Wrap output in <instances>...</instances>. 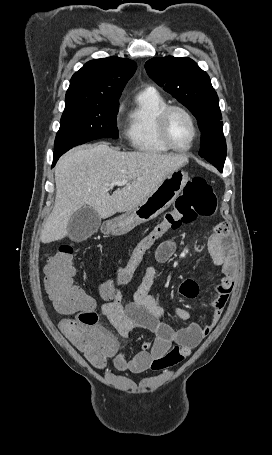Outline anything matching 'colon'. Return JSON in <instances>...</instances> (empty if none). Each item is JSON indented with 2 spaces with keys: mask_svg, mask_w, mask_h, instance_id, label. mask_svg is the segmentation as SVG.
<instances>
[{
  "mask_svg": "<svg viewBox=\"0 0 272 455\" xmlns=\"http://www.w3.org/2000/svg\"><path fill=\"white\" fill-rule=\"evenodd\" d=\"M216 208V196L208 181L203 177L190 179L173 209L166 211L162 220L138 241L126 262L117 268L113 280L101 286V297L110 299L116 286L133 283L146 251L168 231L176 230L199 216H211ZM73 259L74 249L70 245L60 246L44 268V287L55 309L67 316L60 324L62 332L93 366L101 368L115 350L116 341L96 327L94 300L73 281Z\"/></svg>",
  "mask_w": 272,
  "mask_h": 455,
  "instance_id": "obj_1",
  "label": "colon"
}]
</instances>
